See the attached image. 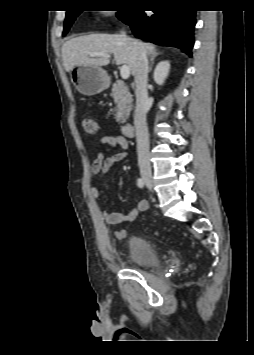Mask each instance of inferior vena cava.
<instances>
[{
  "mask_svg": "<svg viewBox=\"0 0 254 355\" xmlns=\"http://www.w3.org/2000/svg\"><path fill=\"white\" fill-rule=\"evenodd\" d=\"M122 36L126 37L124 32H122ZM147 81L148 60L145 52L139 49L134 74V88L136 95L134 124L136 129L138 164L140 169H150L149 133L146 122V114L149 110Z\"/></svg>",
  "mask_w": 254,
  "mask_h": 355,
  "instance_id": "obj_1",
  "label": "inferior vena cava"
}]
</instances>
